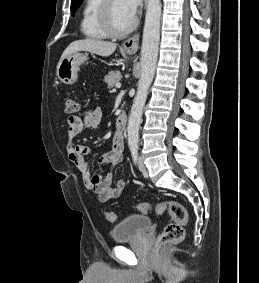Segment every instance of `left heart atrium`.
I'll return each instance as SVG.
<instances>
[{
	"mask_svg": "<svg viewBox=\"0 0 259 283\" xmlns=\"http://www.w3.org/2000/svg\"><path fill=\"white\" fill-rule=\"evenodd\" d=\"M122 5L130 17L134 18L139 6L141 5V0H122Z\"/></svg>",
	"mask_w": 259,
	"mask_h": 283,
	"instance_id": "1",
	"label": "left heart atrium"
}]
</instances>
